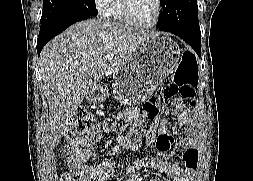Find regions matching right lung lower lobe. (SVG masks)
<instances>
[{"mask_svg":"<svg viewBox=\"0 0 253 181\" xmlns=\"http://www.w3.org/2000/svg\"><path fill=\"white\" fill-rule=\"evenodd\" d=\"M90 16H93V15L87 14V13H73L61 19H58L56 21L41 25L39 36L37 39L38 56L40 55V52L42 48L44 47V45L49 40H51L53 37H55L59 33L63 32L66 28H68L73 23L81 21V20H85L89 18Z\"/></svg>","mask_w":253,"mask_h":181,"instance_id":"right-lung-lower-lobe-1","label":"right lung lower lobe"}]
</instances>
